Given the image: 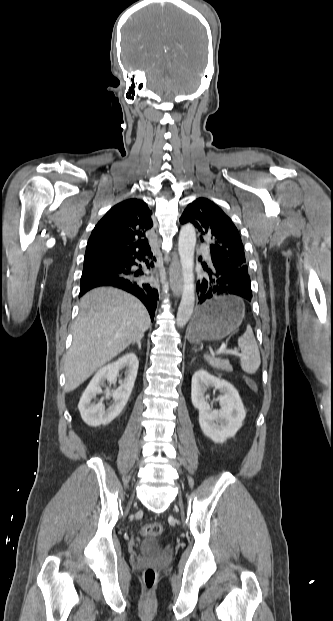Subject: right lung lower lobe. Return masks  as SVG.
Masks as SVG:
<instances>
[{"label": "right lung lower lobe", "instance_id": "right-lung-lower-lobe-1", "mask_svg": "<svg viewBox=\"0 0 333 621\" xmlns=\"http://www.w3.org/2000/svg\"><path fill=\"white\" fill-rule=\"evenodd\" d=\"M135 260L145 262L149 269L154 266L152 261L156 259L153 257L151 249L144 253L85 258L79 297L95 287H117L138 297L148 309L153 320L157 306L158 291L149 283L142 281L141 277L144 275V272L141 269H132L133 265H137Z\"/></svg>", "mask_w": 333, "mask_h": 621}]
</instances>
